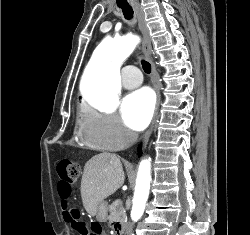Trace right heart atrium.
Masks as SVG:
<instances>
[{"mask_svg":"<svg viewBox=\"0 0 250 235\" xmlns=\"http://www.w3.org/2000/svg\"><path fill=\"white\" fill-rule=\"evenodd\" d=\"M84 142L101 150L118 151L130 145L135 135L110 111L86 108L80 125Z\"/></svg>","mask_w":250,"mask_h":235,"instance_id":"right-heart-atrium-1","label":"right heart atrium"}]
</instances>
